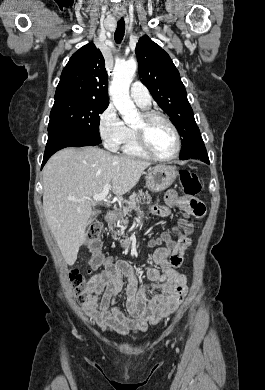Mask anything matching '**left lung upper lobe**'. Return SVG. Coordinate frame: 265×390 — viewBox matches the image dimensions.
<instances>
[{
  "label": "left lung upper lobe",
  "mask_w": 265,
  "mask_h": 390,
  "mask_svg": "<svg viewBox=\"0 0 265 390\" xmlns=\"http://www.w3.org/2000/svg\"><path fill=\"white\" fill-rule=\"evenodd\" d=\"M136 57L141 82L166 112L182 137L180 159L204 147L186 89L171 58L148 36L141 37L136 45Z\"/></svg>",
  "instance_id": "1"
}]
</instances>
